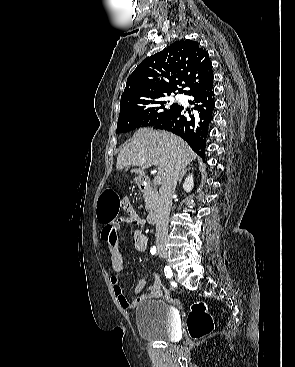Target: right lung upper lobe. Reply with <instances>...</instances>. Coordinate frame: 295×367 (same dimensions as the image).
<instances>
[{
	"instance_id": "1",
	"label": "right lung upper lobe",
	"mask_w": 295,
	"mask_h": 367,
	"mask_svg": "<svg viewBox=\"0 0 295 367\" xmlns=\"http://www.w3.org/2000/svg\"><path fill=\"white\" fill-rule=\"evenodd\" d=\"M212 79L207 51L196 41H177L146 58L128 77L121 96L120 113L128 103L150 100L176 90L187 94Z\"/></svg>"
}]
</instances>
